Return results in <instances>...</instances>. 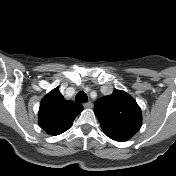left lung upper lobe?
<instances>
[{
    "label": "left lung upper lobe",
    "mask_w": 176,
    "mask_h": 176,
    "mask_svg": "<svg viewBox=\"0 0 176 176\" xmlns=\"http://www.w3.org/2000/svg\"><path fill=\"white\" fill-rule=\"evenodd\" d=\"M94 113L104 133L118 142L129 140L142 125L138 104L121 90H114L111 95L99 98L95 102Z\"/></svg>",
    "instance_id": "1"
}]
</instances>
